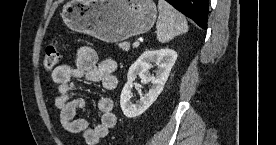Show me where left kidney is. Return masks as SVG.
Listing matches in <instances>:
<instances>
[{
	"label": "left kidney",
	"instance_id": "1",
	"mask_svg": "<svg viewBox=\"0 0 276 145\" xmlns=\"http://www.w3.org/2000/svg\"><path fill=\"white\" fill-rule=\"evenodd\" d=\"M177 59V53L172 49L147 50L131 65L127 74L120 105L124 115L135 118L144 113L158 98L169 77L170 71ZM155 63L158 67L156 75H151L149 69ZM139 76L144 84L151 82L148 93L140 98L136 104L131 101L133 82Z\"/></svg>",
	"mask_w": 276,
	"mask_h": 145
}]
</instances>
